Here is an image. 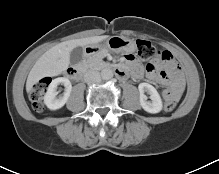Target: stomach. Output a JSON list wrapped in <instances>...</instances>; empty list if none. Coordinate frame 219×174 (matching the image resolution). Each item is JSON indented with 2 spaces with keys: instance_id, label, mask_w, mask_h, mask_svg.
<instances>
[{
  "instance_id": "0dacf381",
  "label": "stomach",
  "mask_w": 219,
  "mask_h": 174,
  "mask_svg": "<svg viewBox=\"0 0 219 174\" xmlns=\"http://www.w3.org/2000/svg\"><path fill=\"white\" fill-rule=\"evenodd\" d=\"M88 47L93 53L101 51L132 53L136 50V44L133 40L121 36H112L103 43L90 44Z\"/></svg>"
}]
</instances>
